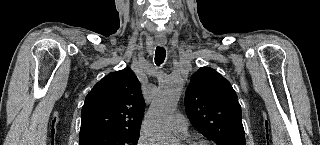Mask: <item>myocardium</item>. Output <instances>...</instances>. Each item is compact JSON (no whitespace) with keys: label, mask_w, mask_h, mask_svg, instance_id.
<instances>
[{"label":"myocardium","mask_w":320,"mask_h":145,"mask_svg":"<svg viewBox=\"0 0 320 145\" xmlns=\"http://www.w3.org/2000/svg\"><path fill=\"white\" fill-rule=\"evenodd\" d=\"M183 145H209V144L202 140H189L184 142Z\"/></svg>","instance_id":"myocardium-1"}]
</instances>
